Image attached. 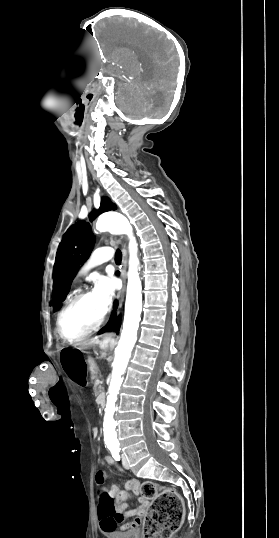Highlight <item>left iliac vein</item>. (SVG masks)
<instances>
[{"label":"left iliac vein","mask_w":279,"mask_h":538,"mask_svg":"<svg viewBox=\"0 0 279 538\" xmlns=\"http://www.w3.org/2000/svg\"><path fill=\"white\" fill-rule=\"evenodd\" d=\"M122 464H123V467L125 469H129V463H128V460L126 458V455L122 454Z\"/></svg>","instance_id":"obj_1"}]
</instances>
